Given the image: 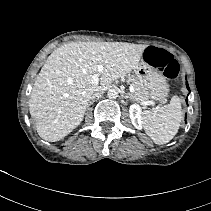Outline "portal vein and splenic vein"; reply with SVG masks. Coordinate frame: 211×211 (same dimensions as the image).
I'll list each match as a JSON object with an SVG mask.
<instances>
[{
	"label": "portal vein and splenic vein",
	"instance_id": "portal-vein-and-splenic-vein-1",
	"mask_svg": "<svg viewBox=\"0 0 211 211\" xmlns=\"http://www.w3.org/2000/svg\"><path fill=\"white\" fill-rule=\"evenodd\" d=\"M102 71H103V65H99V66H98L97 73H95V74L92 76V78H91V81H92L93 84H98V82H99V76H100V73H101ZM129 90H130V92H131L132 94H134L135 89H134V87H133L132 85L129 86ZM149 103H151V102H149Z\"/></svg>",
	"mask_w": 211,
	"mask_h": 211
}]
</instances>
